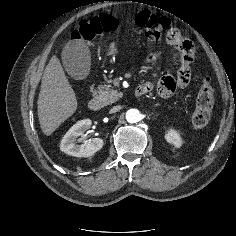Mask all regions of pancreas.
<instances>
[{
    "instance_id": "1",
    "label": "pancreas",
    "mask_w": 236,
    "mask_h": 236,
    "mask_svg": "<svg viewBox=\"0 0 236 236\" xmlns=\"http://www.w3.org/2000/svg\"><path fill=\"white\" fill-rule=\"evenodd\" d=\"M97 99H99L103 105H109L119 100L123 96L121 92L114 90L111 85H100L95 93Z\"/></svg>"
}]
</instances>
